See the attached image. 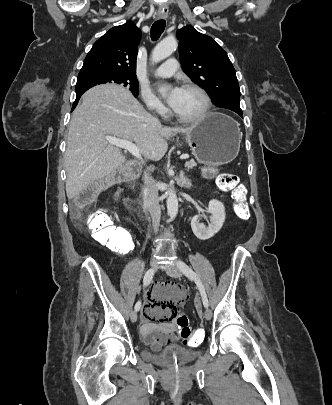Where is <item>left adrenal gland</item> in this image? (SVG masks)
<instances>
[{
	"label": "left adrenal gland",
	"instance_id": "left-adrenal-gland-1",
	"mask_svg": "<svg viewBox=\"0 0 332 405\" xmlns=\"http://www.w3.org/2000/svg\"><path fill=\"white\" fill-rule=\"evenodd\" d=\"M178 183H179V185H180L181 187H186V188H190L191 185H192L191 180H189V178H187V177L184 175V172H183V171L180 172V176H179Z\"/></svg>",
	"mask_w": 332,
	"mask_h": 405
}]
</instances>
